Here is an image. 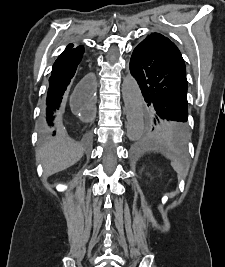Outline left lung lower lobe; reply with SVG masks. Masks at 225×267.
Returning a JSON list of instances; mask_svg holds the SVG:
<instances>
[{
  "mask_svg": "<svg viewBox=\"0 0 225 267\" xmlns=\"http://www.w3.org/2000/svg\"><path fill=\"white\" fill-rule=\"evenodd\" d=\"M130 72L145 102L158 117L174 123L173 131L184 139L188 120L186 68L182 55L169 39L149 35L134 49Z\"/></svg>",
  "mask_w": 225,
  "mask_h": 267,
  "instance_id": "left-lung-lower-lobe-1",
  "label": "left lung lower lobe"
}]
</instances>
